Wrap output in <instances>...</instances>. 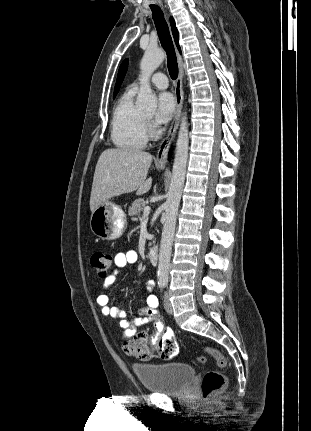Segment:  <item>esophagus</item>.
<instances>
[{
  "label": "esophagus",
  "mask_w": 311,
  "mask_h": 431,
  "mask_svg": "<svg viewBox=\"0 0 311 431\" xmlns=\"http://www.w3.org/2000/svg\"><path fill=\"white\" fill-rule=\"evenodd\" d=\"M176 54H177V61H178V67H179V73H178V77L175 85L176 107H175V111L173 114L172 122L168 130V133L166 137L163 138V140L159 144L158 152L156 155L155 162L156 164L161 166L166 165L167 155L170 149V145L176 136V131L180 123V115L182 111V104H183V98H184L183 86H182L184 65H183L182 57L177 50H176Z\"/></svg>",
  "instance_id": "obj_1"
}]
</instances>
